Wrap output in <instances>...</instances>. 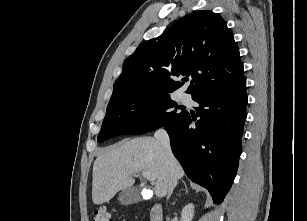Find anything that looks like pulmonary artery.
<instances>
[{
    "label": "pulmonary artery",
    "mask_w": 307,
    "mask_h": 221,
    "mask_svg": "<svg viewBox=\"0 0 307 221\" xmlns=\"http://www.w3.org/2000/svg\"><path fill=\"white\" fill-rule=\"evenodd\" d=\"M181 100H182L183 102H187V101L189 100V96H188L187 94H182V95H181Z\"/></svg>",
    "instance_id": "e3ab8cb5"
}]
</instances>
